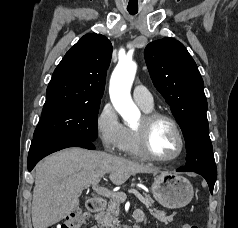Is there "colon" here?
<instances>
[{
  "instance_id": "5ec220e1",
  "label": "colon",
  "mask_w": 238,
  "mask_h": 228,
  "mask_svg": "<svg viewBox=\"0 0 238 228\" xmlns=\"http://www.w3.org/2000/svg\"><path fill=\"white\" fill-rule=\"evenodd\" d=\"M89 217L88 212L77 209L70 214L65 220L58 223L55 227L49 228H82ZM179 228H199L189 223H182Z\"/></svg>"
}]
</instances>
